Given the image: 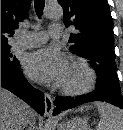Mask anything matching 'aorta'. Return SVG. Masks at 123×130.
<instances>
[{
  "instance_id": "aorta-1",
  "label": "aorta",
  "mask_w": 123,
  "mask_h": 130,
  "mask_svg": "<svg viewBox=\"0 0 123 130\" xmlns=\"http://www.w3.org/2000/svg\"><path fill=\"white\" fill-rule=\"evenodd\" d=\"M44 15L50 19H58L63 16V9L57 2L50 3L46 7V9L44 11Z\"/></svg>"
}]
</instances>
